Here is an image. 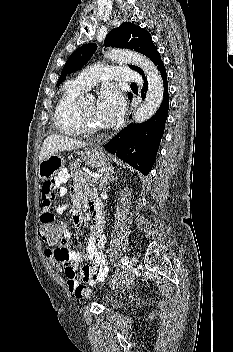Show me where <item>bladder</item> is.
Returning <instances> with one entry per match:
<instances>
[{
    "label": "bladder",
    "instance_id": "1",
    "mask_svg": "<svg viewBox=\"0 0 233 352\" xmlns=\"http://www.w3.org/2000/svg\"><path fill=\"white\" fill-rule=\"evenodd\" d=\"M105 302L107 306L114 308L122 303V298L117 293L108 292L105 294Z\"/></svg>",
    "mask_w": 233,
    "mask_h": 352
}]
</instances>
